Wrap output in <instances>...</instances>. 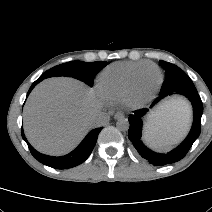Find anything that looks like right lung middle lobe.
I'll return each mask as SVG.
<instances>
[{
    "mask_svg": "<svg viewBox=\"0 0 212 212\" xmlns=\"http://www.w3.org/2000/svg\"><path fill=\"white\" fill-rule=\"evenodd\" d=\"M108 63L105 61L83 62L71 61L51 68L42 75L45 78L54 76H67L79 79L89 86H93L95 75Z\"/></svg>",
    "mask_w": 212,
    "mask_h": 212,
    "instance_id": "obj_1",
    "label": "right lung middle lobe"
}]
</instances>
